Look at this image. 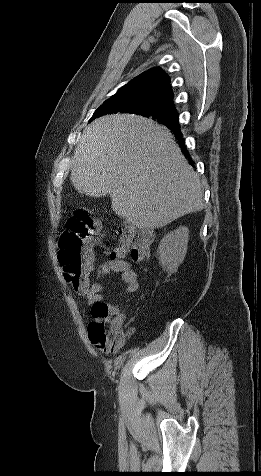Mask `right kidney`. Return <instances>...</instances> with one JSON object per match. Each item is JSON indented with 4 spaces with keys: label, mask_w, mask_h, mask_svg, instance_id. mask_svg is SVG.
Listing matches in <instances>:
<instances>
[{
    "label": "right kidney",
    "mask_w": 261,
    "mask_h": 476,
    "mask_svg": "<svg viewBox=\"0 0 261 476\" xmlns=\"http://www.w3.org/2000/svg\"><path fill=\"white\" fill-rule=\"evenodd\" d=\"M188 235V228L181 226L168 233L160 241L157 250L159 263L168 273L176 272L178 266L183 262L187 253Z\"/></svg>",
    "instance_id": "1"
}]
</instances>
